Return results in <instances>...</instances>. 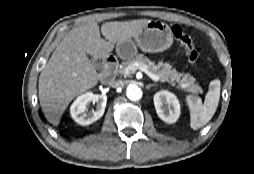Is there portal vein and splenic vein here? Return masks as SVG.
Listing matches in <instances>:
<instances>
[{
  "mask_svg": "<svg viewBox=\"0 0 254 174\" xmlns=\"http://www.w3.org/2000/svg\"><path fill=\"white\" fill-rule=\"evenodd\" d=\"M141 70L142 72H144L145 74H147L153 81L158 82L160 80V77L157 76L156 74H154L149 68L148 66H146L145 64L141 63V62H135L133 64L128 65L125 68V74H133L135 73L137 70ZM181 87H185V85H181Z\"/></svg>",
  "mask_w": 254,
  "mask_h": 174,
  "instance_id": "1",
  "label": "portal vein and splenic vein"
}]
</instances>
